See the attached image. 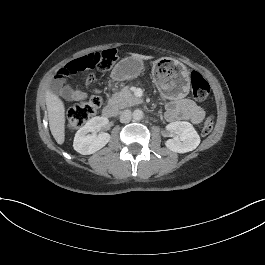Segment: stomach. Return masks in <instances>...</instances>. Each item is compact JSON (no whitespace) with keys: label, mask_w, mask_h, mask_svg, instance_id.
Segmentation results:
<instances>
[{"label":"stomach","mask_w":265,"mask_h":265,"mask_svg":"<svg viewBox=\"0 0 265 265\" xmlns=\"http://www.w3.org/2000/svg\"><path fill=\"white\" fill-rule=\"evenodd\" d=\"M142 70V60L131 56L117 63L111 76L117 81H124L138 76ZM152 76L157 88L168 99H181L189 92V71L176 59L163 57L156 60L153 64Z\"/></svg>","instance_id":"obj_1"}]
</instances>
